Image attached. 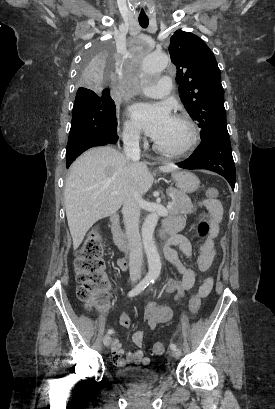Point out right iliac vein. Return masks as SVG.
<instances>
[{
  "label": "right iliac vein",
  "instance_id": "1",
  "mask_svg": "<svg viewBox=\"0 0 275 409\" xmlns=\"http://www.w3.org/2000/svg\"><path fill=\"white\" fill-rule=\"evenodd\" d=\"M111 341H112L111 335L107 334V335L104 336L103 343H104L105 346H109Z\"/></svg>",
  "mask_w": 275,
  "mask_h": 409
}]
</instances>
